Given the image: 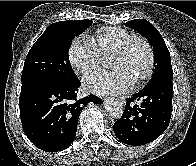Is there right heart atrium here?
<instances>
[{"label":"right heart atrium","instance_id":"d8ad5b80","mask_svg":"<svg viewBox=\"0 0 196 166\" xmlns=\"http://www.w3.org/2000/svg\"><path fill=\"white\" fill-rule=\"evenodd\" d=\"M101 57L95 44L81 36L74 38L68 49L69 61L72 67L80 73L96 68L100 64Z\"/></svg>","mask_w":196,"mask_h":166}]
</instances>
